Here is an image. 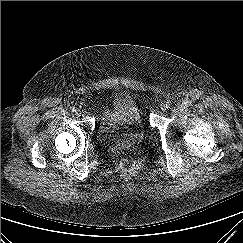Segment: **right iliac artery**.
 Returning a JSON list of instances; mask_svg holds the SVG:
<instances>
[{"label":"right iliac artery","mask_w":243,"mask_h":243,"mask_svg":"<svg viewBox=\"0 0 243 243\" xmlns=\"http://www.w3.org/2000/svg\"><path fill=\"white\" fill-rule=\"evenodd\" d=\"M72 112H77V109L74 107V108H72Z\"/></svg>","instance_id":"82829eb1"}]
</instances>
